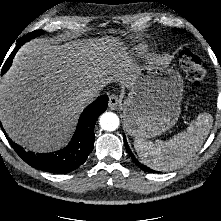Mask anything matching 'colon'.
<instances>
[{"label": "colon", "instance_id": "obj_1", "mask_svg": "<svg viewBox=\"0 0 221 221\" xmlns=\"http://www.w3.org/2000/svg\"><path fill=\"white\" fill-rule=\"evenodd\" d=\"M179 64L193 86L199 87L203 83L205 69L198 55L189 50H184L180 53Z\"/></svg>", "mask_w": 221, "mask_h": 221}]
</instances>
